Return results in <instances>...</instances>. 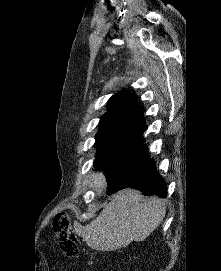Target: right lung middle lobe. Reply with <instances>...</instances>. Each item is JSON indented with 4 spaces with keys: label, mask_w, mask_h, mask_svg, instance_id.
Here are the masks:
<instances>
[{
    "label": "right lung middle lobe",
    "mask_w": 221,
    "mask_h": 271,
    "mask_svg": "<svg viewBox=\"0 0 221 271\" xmlns=\"http://www.w3.org/2000/svg\"><path fill=\"white\" fill-rule=\"evenodd\" d=\"M143 131L102 130L96 134L98 149L94 167L99 171L122 162L140 148L144 142Z\"/></svg>",
    "instance_id": "right-lung-middle-lobe-1"
}]
</instances>
